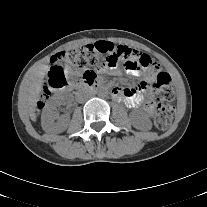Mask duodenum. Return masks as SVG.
<instances>
[{"instance_id": "duodenum-1", "label": "duodenum", "mask_w": 207, "mask_h": 207, "mask_svg": "<svg viewBox=\"0 0 207 207\" xmlns=\"http://www.w3.org/2000/svg\"><path fill=\"white\" fill-rule=\"evenodd\" d=\"M83 86H88L91 91L99 89V85L95 81V76L85 75L82 82L76 86V88H81Z\"/></svg>"}]
</instances>
